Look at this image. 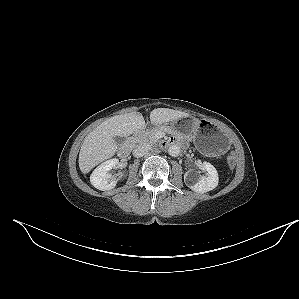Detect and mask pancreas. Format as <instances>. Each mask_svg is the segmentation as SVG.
<instances>
[{
  "label": "pancreas",
  "mask_w": 299,
  "mask_h": 299,
  "mask_svg": "<svg viewBox=\"0 0 299 299\" xmlns=\"http://www.w3.org/2000/svg\"><path fill=\"white\" fill-rule=\"evenodd\" d=\"M165 130H167L165 127L158 126L144 132H139L133 136L132 141L136 144H153L158 140L156 134Z\"/></svg>",
  "instance_id": "1"
}]
</instances>
